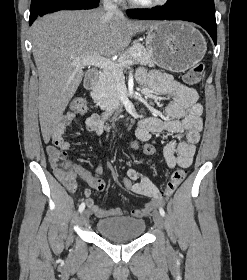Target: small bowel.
I'll list each match as a JSON object with an SVG mask.
<instances>
[{
	"instance_id": "c3829d8e",
	"label": "small bowel",
	"mask_w": 247,
	"mask_h": 280,
	"mask_svg": "<svg viewBox=\"0 0 247 280\" xmlns=\"http://www.w3.org/2000/svg\"><path fill=\"white\" fill-rule=\"evenodd\" d=\"M137 81L148 86L153 91L170 97L168 105L165 107L163 116H152L142 119L136 129V137L145 139L147 143H153L155 148L158 143L152 140V134L167 131L173 134H185V140L176 143L174 140L168 141L163 146V157L167 166L171 169L176 166L188 168L193 161L196 144L200 140L202 130L203 108L198 102V95L195 89L187 87L172 76L159 71H146L141 68L136 74ZM75 114L66 113L54 128L51 140L54 146L63 151L70 150V143L64 138L68 126L74 121ZM85 129L96 136H101L104 132L105 120L97 113L91 114L84 121ZM95 158V157H93ZM101 168L98 166L94 173L80 165H74V173L71 179H61L64 186L71 193L77 190L76 178L85 181L91 188L103 191L104 181L100 177ZM127 176L133 181V186L129 189L137 195L150 198L152 201L143 208H134L128 213L134 218H142L148 215L156 203L162 200V195L158 187L146 176L135 169H129ZM82 195L86 199L87 207L98 218L110 216H121L127 211L121 208L106 209L100 207L92 199L90 189H84Z\"/></svg>"
}]
</instances>
